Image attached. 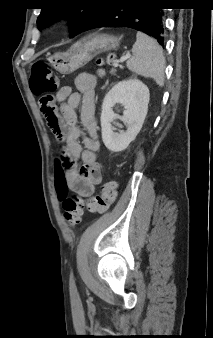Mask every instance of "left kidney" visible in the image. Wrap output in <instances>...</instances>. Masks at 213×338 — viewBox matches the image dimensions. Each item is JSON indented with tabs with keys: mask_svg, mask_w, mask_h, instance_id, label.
Segmentation results:
<instances>
[{
	"mask_svg": "<svg viewBox=\"0 0 213 338\" xmlns=\"http://www.w3.org/2000/svg\"><path fill=\"white\" fill-rule=\"evenodd\" d=\"M149 89L138 79L123 80L115 84L102 103L101 128L104 145L112 152H121L136 138L147 115ZM121 104L123 116H117L112 107ZM119 118L126 124V131L117 133L112 122Z\"/></svg>",
	"mask_w": 213,
	"mask_h": 338,
	"instance_id": "5707ae66",
	"label": "left kidney"
}]
</instances>
